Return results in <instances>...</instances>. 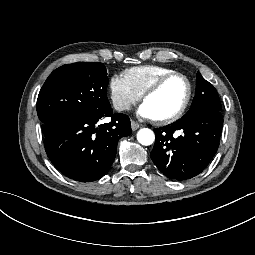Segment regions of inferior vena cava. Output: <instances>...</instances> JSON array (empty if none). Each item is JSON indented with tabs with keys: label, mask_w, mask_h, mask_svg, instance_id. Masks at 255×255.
Returning a JSON list of instances; mask_svg holds the SVG:
<instances>
[{
	"label": "inferior vena cava",
	"mask_w": 255,
	"mask_h": 255,
	"mask_svg": "<svg viewBox=\"0 0 255 255\" xmlns=\"http://www.w3.org/2000/svg\"><path fill=\"white\" fill-rule=\"evenodd\" d=\"M113 105L116 110H126L130 108V102L120 96H114L113 98Z\"/></svg>",
	"instance_id": "602c4592"
}]
</instances>
